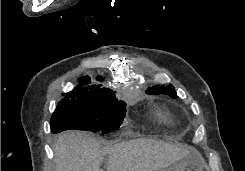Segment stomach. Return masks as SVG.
Returning a JSON list of instances; mask_svg holds the SVG:
<instances>
[{"label":"stomach","mask_w":245,"mask_h":171,"mask_svg":"<svg viewBox=\"0 0 245 171\" xmlns=\"http://www.w3.org/2000/svg\"><path fill=\"white\" fill-rule=\"evenodd\" d=\"M159 171H203L202 166L190 156L180 160L175 165Z\"/></svg>","instance_id":"0dacf381"}]
</instances>
